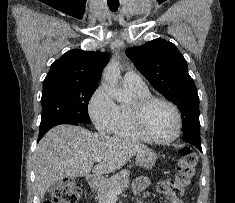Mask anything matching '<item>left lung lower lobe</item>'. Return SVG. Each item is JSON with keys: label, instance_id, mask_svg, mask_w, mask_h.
Returning <instances> with one entry per match:
<instances>
[{"label": "left lung lower lobe", "instance_id": "0a47b994", "mask_svg": "<svg viewBox=\"0 0 235 203\" xmlns=\"http://www.w3.org/2000/svg\"><path fill=\"white\" fill-rule=\"evenodd\" d=\"M183 140H184L185 142H188V143H190V144L196 146L200 151H202V148H201V141L195 140L194 138H192V137L189 136V135L183 136Z\"/></svg>", "mask_w": 235, "mask_h": 203}]
</instances>
